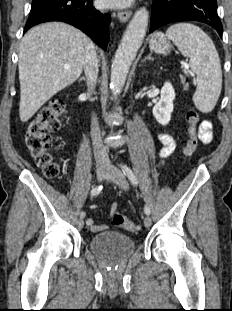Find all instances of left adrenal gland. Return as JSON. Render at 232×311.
I'll return each mask as SVG.
<instances>
[{"label":"left adrenal gland","instance_id":"left-adrenal-gland-1","mask_svg":"<svg viewBox=\"0 0 232 311\" xmlns=\"http://www.w3.org/2000/svg\"><path fill=\"white\" fill-rule=\"evenodd\" d=\"M146 60H150V61L153 60V57L151 56V54L147 55V56L143 59V62L146 61Z\"/></svg>","mask_w":232,"mask_h":311}]
</instances>
